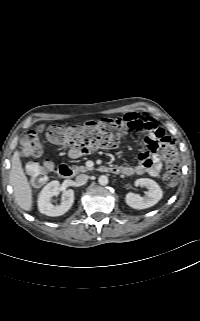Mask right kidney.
Returning a JSON list of instances; mask_svg holds the SVG:
<instances>
[{"label": "right kidney", "instance_id": "obj_1", "mask_svg": "<svg viewBox=\"0 0 200 321\" xmlns=\"http://www.w3.org/2000/svg\"><path fill=\"white\" fill-rule=\"evenodd\" d=\"M61 190L58 181L48 183L40 192L38 198L39 211L47 216L56 217L65 214L74 203V191H64V197L59 205L52 204V197L57 196Z\"/></svg>", "mask_w": 200, "mask_h": 321}]
</instances>
